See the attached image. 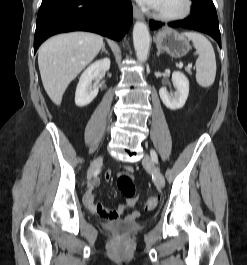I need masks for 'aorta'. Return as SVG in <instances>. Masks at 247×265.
Returning a JSON list of instances; mask_svg holds the SVG:
<instances>
[{
	"mask_svg": "<svg viewBox=\"0 0 247 265\" xmlns=\"http://www.w3.org/2000/svg\"><path fill=\"white\" fill-rule=\"evenodd\" d=\"M133 42L137 59L141 62L147 60L150 35L147 25L144 22H136L133 28Z\"/></svg>",
	"mask_w": 247,
	"mask_h": 265,
	"instance_id": "obj_1",
	"label": "aorta"
}]
</instances>
